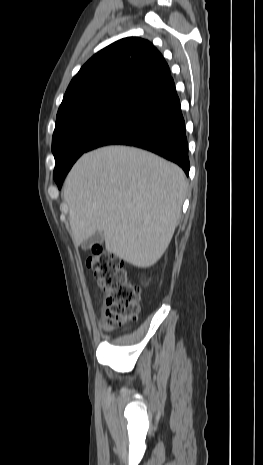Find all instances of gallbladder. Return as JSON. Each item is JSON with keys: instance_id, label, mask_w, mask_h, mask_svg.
<instances>
[{"instance_id": "obj_1", "label": "gallbladder", "mask_w": 263, "mask_h": 465, "mask_svg": "<svg viewBox=\"0 0 263 465\" xmlns=\"http://www.w3.org/2000/svg\"><path fill=\"white\" fill-rule=\"evenodd\" d=\"M104 240V235L102 231H96L94 234H92L90 237H88L84 242L82 243V249L83 250H88L90 249L94 244L101 243Z\"/></svg>"}]
</instances>
